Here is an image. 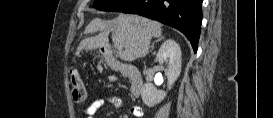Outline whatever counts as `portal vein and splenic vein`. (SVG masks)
Here are the masks:
<instances>
[{"label": "portal vein and splenic vein", "mask_w": 273, "mask_h": 118, "mask_svg": "<svg viewBox=\"0 0 273 118\" xmlns=\"http://www.w3.org/2000/svg\"><path fill=\"white\" fill-rule=\"evenodd\" d=\"M115 46H116V48H117L119 51L122 50V46H121L119 43H116V42H115Z\"/></svg>", "instance_id": "1"}]
</instances>
